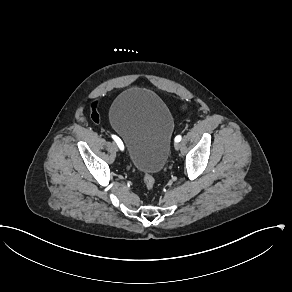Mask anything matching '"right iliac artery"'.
<instances>
[{
  "label": "right iliac artery",
  "mask_w": 292,
  "mask_h": 292,
  "mask_svg": "<svg viewBox=\"0 0 292 292\" xmlns=\"http://www.w3.org/2000/svg\"><path fill=\"white\" fill-rule=\"evenodd\" d=\"M112 138L117 143V145L120 148V150H124V145H123V142L121 141V139L119 137L115 136V135H112Z\"/></svg>",
  "instance_id": "1"
}]
</instances>
